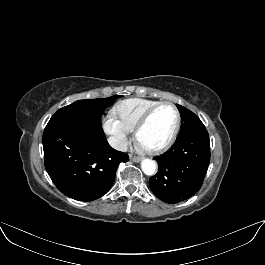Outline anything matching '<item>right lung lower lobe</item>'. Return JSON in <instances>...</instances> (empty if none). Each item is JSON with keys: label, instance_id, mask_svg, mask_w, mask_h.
Wrapping results in <instances>:
<instances>
[{"label": "right lung lower lobe", "instance_id": "right-lung-lower-lobe-1", "mask_svg": "<svg viewBox=\"0 0 265 265\" xmlns=\"http://www.w3.org/2000/svg\"><path fill=\"white\" fill-rule=\"evenodd\" d=\"M44 163L55 186L66 196L92 201L112 187L126 153L108 144L101 125L88 121L50 119L43 133Z\"/></svg>", "mask_w": 265, "mask_h": 265}]
</instances>
